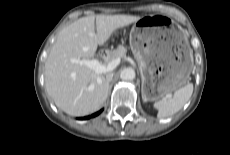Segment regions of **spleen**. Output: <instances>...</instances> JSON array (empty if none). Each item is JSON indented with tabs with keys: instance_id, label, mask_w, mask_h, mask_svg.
Segmentation results:
<instances>
[{
	"instance_id": "obj_1",
	"label": "spleen",
	"mask_w": 230,
	"mask_h": 155,
	"mask_svg": "<svg viewBox=\"0 0 230 155\" xmlns=\"http://www.w3.org/2000/svg\"><path fill=\"white\" fill-rule=\"evenodd\" d=\"M192 93L193 84L188 83L176 90L173 95L170 94L155 102L154 108L158 110V117L165 118L177 113L189 101Z\"/></svg>"
}]
</instances>
